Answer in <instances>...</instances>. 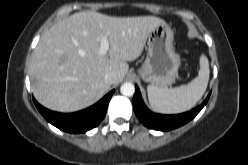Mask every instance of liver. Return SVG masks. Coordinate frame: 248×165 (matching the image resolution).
<instances>
[{
    "label": "liver",
    "instance_id": "1",
    "mask_svg": "<svg viewBox=\"0 0 248 165\" xmlns=\"http://www.w3.org/2000/svg\"><path fill=\"white\" fill-rule=\"evenodd\" d=\"M166 22L154 16L111 17L75 13L54 24L40 38L30 64L31 90L44 107L75 112L96 103L108 90L105 74L125 77L128 61L137 59L149 33ZM106 36L109 50L99 53Z\"/></svg>",
    "mask_w": 248,
    "mask_h": 165
}]
</instances>
